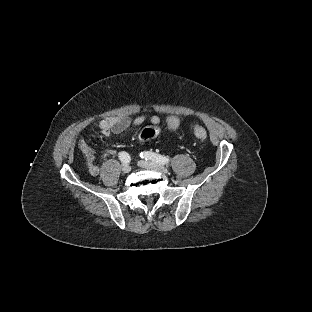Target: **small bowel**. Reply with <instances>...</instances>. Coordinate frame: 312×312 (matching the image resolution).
Wrapping results in <instances>:
<instances>
[{
    "label": "small bowel",
    "mask_w": 312,
    "mask_h": 312,
    "mask_svg": "<svg viewBox=\"0 0 312 312\" xmlns=\"http://www.w3.org/2000/svg\"><path fill=\"white\" fill-rule=\"evenodd\" d=\"M145 120H146L145 116H138L133 120L128 116L121 117L112 116L102 119L99 122L98 126L102 135L110 136L122 133L131 125L138 127L142 125L145 122ZM150 122L152 125L158 126L160 124V118L157 115H153L150 117ZM78 147L84 156L88 173L92 176H97L100 172V167L96 163V156L94 150L90 147L86 139H80ZM107 152L109 154L115 153L113 150H107Z\"/></svg>",
    "instance_id": "obj_1"
}]
</instances>
